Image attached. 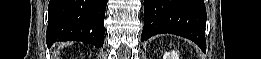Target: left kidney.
<instances>
[{"label": "left kidney", "instance_id": "obj_1", "mask_svg": "<svg viewBox=\"0 0 261 59\" xmlns=\"http://www.w3.org/2000/svg\"><path fill=\"white\" fill-rule=\"evenodd\" d=\"M163 59H179V55L175 51L166 52L163 56Z\"/></svg>", "mask_w": 261, "mask_h": 59}]
</instances>
